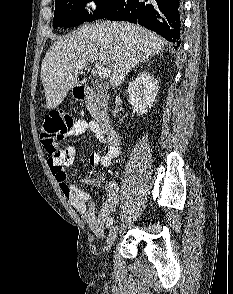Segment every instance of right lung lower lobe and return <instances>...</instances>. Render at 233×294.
Listing matches in <instances>:
<instances>
[{
  "label": "right lung lower lobe",
  "mask_w": 233,
  "mask_h": 294,
  "mask_svg": "<svg viewBox=\"0 0 233 294\" xmlns=\"http://www.w3.org/2000/svg\"><path fill=\"white\" fill-rule=\"evenodd\" d=\"M106 17L142 25L179 47L181 30L180 0H117Z\"/></svg>",
  "instance_id": "98d812e1"
}]
</instances>
